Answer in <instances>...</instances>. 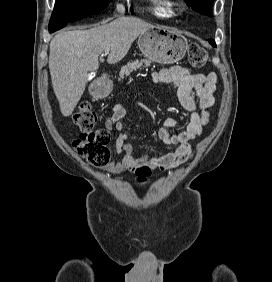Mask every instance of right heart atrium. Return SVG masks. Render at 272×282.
<instances>
[{"mask_svg": "<svg viewBox=\"0 0 272 282\" xmlns=\"http://www.w3.org/2000/svg\"><path fill=\"white\" fill-rule=\"evenodd\" d=\"M116 10H117L118 13H122L123 12V7H122V5L120 3L116 6Z\"/></svg>", "mask_w": 272, "mask_h": 282, "instance_id": "right-heart-atrium-1", "label": "right heart atrium"}]
</instances>
